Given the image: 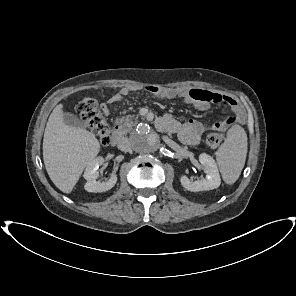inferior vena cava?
Masks as SVG:
<instances>
[{"label":"inferior vena cava","mask_w":296,"mask_h":296,"mask_svg":"<svg viewBox=\"0 0 296 296\" xmlns=\"http://www.w3.org/2000/svg\"><path fill=\"white\" fill-rule=\"evenodd\" d=\"M132 147V144H131V141L129 138L127 137H123L121 138V140L119 141L118 143V148L121 150V151H129L130 148Z\"/></svg>","instance_id":"602c4592"}]
</instances>
